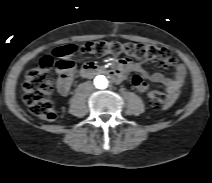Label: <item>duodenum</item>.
<instances>
[{
	"mask_svg": "<svg viewBox=\"0 0 212 183\" xmlns=\"http://www.w3.org/2000/svg\"><path fill=\"white\" fill-rule=\"evenodd\" d=\"M79 74L82 78H89L98 74H105L114 82H120L122 80V72L118 68L106 69L94 63L84 65Z\"/></svg>",
	"mask_w": 212,
	"mask_h": 183,
	"instance_id": "obj_1",
	"label": "duodenum"
}]
</instances>
